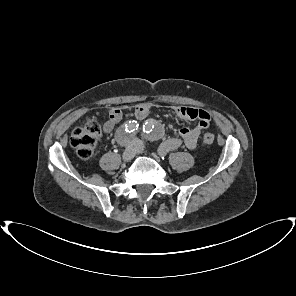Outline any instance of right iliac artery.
<instances>
[{"instance_id": "1", "label": "right iliac artery", "mask_w": 296, "mask_h": 296, "mask_svg": "<svg viewBox=\"0 0 296 296\" xmlns=\"http://www.w3.org/2000/svg\"><path fill=\"white\" fill-rule=\"evenodd\" d=\"M138 130V123L136 121H129L125 126H122L118 133V142L124 146L128 143L129 138L127 134L135 133Z\"/></svg>"}]
</instances>
